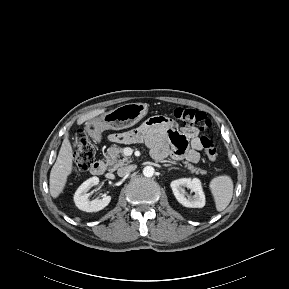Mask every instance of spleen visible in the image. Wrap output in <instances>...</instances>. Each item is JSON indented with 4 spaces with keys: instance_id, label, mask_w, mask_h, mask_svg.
Masks as SVG:
<instances>
[{
    "instance_id": "obj_1",
    "label": "spleen",
    "mask_w": 289,
    "mask_h": 289,
    "mask_svg": "<svg viewBox=\"0 0 289 289\" xmlns=\"http://www.w3.org/2000/svg\"><path fill=\"white\" fill-rule=\"evenodd\" d=\"M217 211H223L233 196V181L228 175L214 177L209 184Z\"/></svg>"
}]
</instances>
